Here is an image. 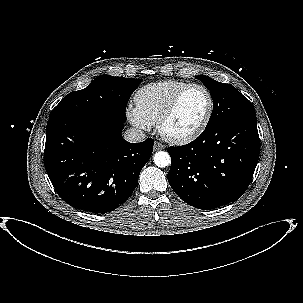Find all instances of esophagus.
Instances as JSON below:
<instances>
[{"label":"esophagus","instance_id":"1","mask_svg":"<svg viewBox=\"0 0 303 303\" xmlns=\"http://www.w3.org/2000/svg\"><path fill=\"white\" fill-rule=\"evenodd\" d=\"M162 149H165V145H163L160 142L155 141V143H154V150L158 151V150H162Z\"/></svg>","mask_w":303,"mask_h":303}]
</instances>
